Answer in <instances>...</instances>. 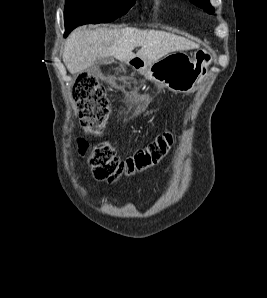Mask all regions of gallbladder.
<instances>
[{
	"instance_id": "gallbladder-1",
	"label": "gallbladder",
	"mask_w": 267,
	"mask_h": 298,
	"mask_svg": "<svg viewBox=\"0 0 267 298\" xmlns=\"http://www.w3.org/2000/svg\"><path fill=\"white\" fill-rule=\"evenodd\" d=\"M112 62V58H102L99 59L95 62V65L89 68V71L93 72L96 68V66L101 65V64H108Z\"/></svg>"
}]
</instances>
